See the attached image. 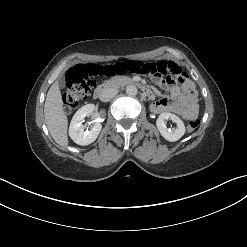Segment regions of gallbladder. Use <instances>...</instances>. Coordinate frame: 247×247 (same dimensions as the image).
I'll use <instances>...</instances> for the list:
<instances>
[{
	"instance_id": "obj_1",
	"label": "gallbladder",
	"mask_w": 247,
	"mask_h": 247,
	"mask_svg": "<svg viewBox=\"0 0 247 247\" xmlns=\"http://www.w3.org/2000/svg\"><path fill=\"white\" fill-rule=\"evenodd\" d=\"M58 83H59L60 87H64V85H65L64 77H60L59 80H58Z\"/></svg>"
}]
</instances>
